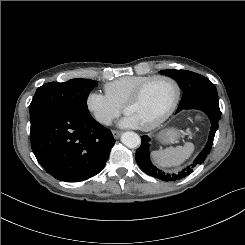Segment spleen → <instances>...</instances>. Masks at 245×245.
<instances>
[{"label": "spleen", "instance_id": "1", "mask_svg": "<svg viewBox=\"0 0 245 245\" xmlns=\"http://www.w3.org/2000/svg\"><path fill=\"white\" fill-rule=\"evenodd\" d=\"M194 149V144L187 142L184 146L168 147L163 150L153 151L151 157L158 167L178 166L191 156Z\"/></svg>", "mask_w": 245, "mask_h": 245}]
</instances>
